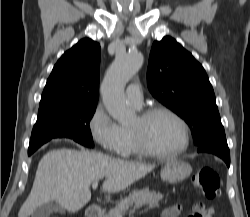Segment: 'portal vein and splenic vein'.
Returning <instances> with one entry per match:
<instances>
[{
    "label": "portal vein and splenic vein",
    "mask_w": 250,
    "mask_h": 217,
    "mask_svg": "<svg viewBox=\"0 0 250 217\" xmlns=\"http://www.w3.org/2000/svg\"><path fill=\"white\" fill-rule=\"evenodd\" d=\"M98 187V181H95L92 183V188L96 189ZM119 217H122V215H119Z\"/></svg>",
    "instance_id": "obj_1"
}]
</instances>
